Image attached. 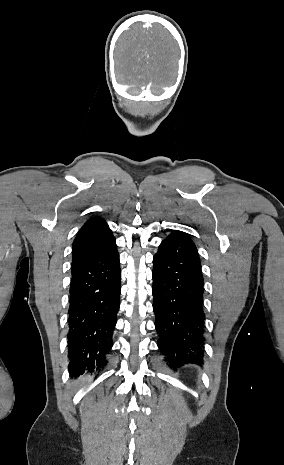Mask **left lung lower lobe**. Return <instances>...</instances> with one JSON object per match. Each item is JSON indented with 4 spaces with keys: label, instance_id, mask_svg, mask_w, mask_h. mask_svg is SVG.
I'll use <instances>...</instances> for the list:
<instances>
[{
    "label": "left lung lower lobe",
    "instance_id": "0a47b994",
    "mask_svg": "<svg viewBox=\"0 0 284 465\" xmlns=\"http://www.w3.org/2000/svg\"><path fill=\"white\" fill-rule=\"evenodd\" d=\"M153 309L158 346L171 366L201 363L204 355L203 276L193 241L173 230L153 258Z\"/></svg>",
    "mask_w": 284,
    "mask_h": 465
}]
</instances>
